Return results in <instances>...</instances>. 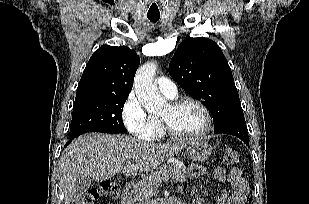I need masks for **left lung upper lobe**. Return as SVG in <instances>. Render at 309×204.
<instances>
[{
	"mask_svg": "<svg viewBox=\"0 0 309 204\" xmlns=\"http://www.w3.org/2000/svg\"><path fill=\"white\" fill-rule=\"evenodd\" d=\"M169 73L209 109L214 129L244 117L231 69L214 41L199 37L181 42L170 61Z\"/></svg>",
	"mask_w": 309,
	"mask_h": 204,
	"instance_id": "left-lung-upper-lobe-1",
	"label": "left lung upper lobe"
}]
</instances>
